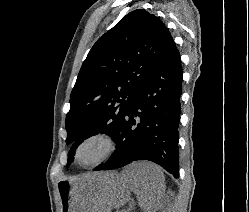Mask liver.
I'll list each match as a JSON object with an SVG mask.
<instances>
[{
    "label": "liver",
    "mask_w": 249,
    "mask_h": 212,
    "mask_svg": "<svg viewBox=\"0 0 249 212\" xmlns=\"http://www.w3.org/2000/svg\"><path fill=\"white\" fill-rule=\"evenodd\" d=\"M100 190L104 194L105 212L122 208L130 200V192L138 198L140 208L155 210L165 190L161 168L150 162H133L121 174L105 172L100 176Z\"/></svg>",
    "instance_id": "1"
}]
</instances>
